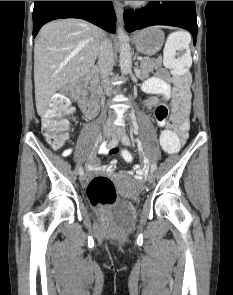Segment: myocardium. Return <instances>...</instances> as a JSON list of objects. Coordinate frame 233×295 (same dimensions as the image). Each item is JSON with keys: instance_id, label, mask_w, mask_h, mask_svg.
<instances>
[{"instance_id": "1", "label": "myocardium", "mask_w": 233, "mask_h": 295, "mask_svg": "<svg viewBox=\"0 0 233 295\" xmlns=\"http://www.w3.org/2000/svg\"><path fill=\"white\" fill-rule=\"evenodd\" d=\"M150 1H129L130 5L136 8L146 6Z\"/></svg>"}]
</instances>
